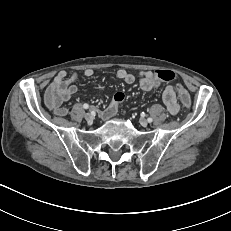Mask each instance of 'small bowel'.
<instances>
[{
    "mask_svg": "<svg viewBox=\"0 0 231 231\" xmlns=\"http://www.w3.org/2000/svg\"><path fill=\"white\" fill-rule=\"evenodd\" d=\"M94 74L93 69H85L83 75L85 77H92ZM116 77L122 80L126 84H132L135 82V76L128 72L125 69H119L116 72ZM78 78L77 73H73L70 76H67L65 71H60L53 79L51 85L58 86V93L54 94L55 103H52L50 107L53 109L54 113L59 116H65L68 113V109L61 105L63 101H69L72 96L78 91V87L75 84V81ZM138 84L140 88L144 91H151L155 88H158L159 82L154 77V73L151 71H142L139 73ZM49 91V90H48ZM163 102L167 107L168 111L175 115L179 111V103L177 100L175 89L172 85H168L162 95ZM118 110V105L112 103L101 112V116L104 119H109L113 117Z\"/></svg>",
    "mask_w": 231,
    "mask_h": 231,
    "instance_id": "obj_1",
    "label": "small bowel"
}]
</instances>
